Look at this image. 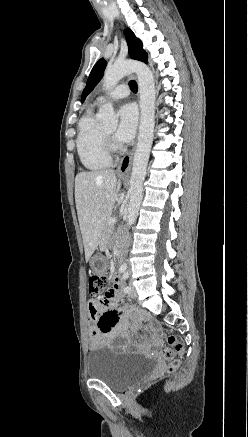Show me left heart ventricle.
I'll use <instances>...</instances> for the list:
<instances>
[{
    "instance_id": "1",
    "label": "left heart ventricle",
    "mask_w": 248,
    "mask_h": 437,
    "mask_svg": "<svg viewBox=\"0 0 248 437\" xmlns=\"http://www.w3.org/2000/svg\"><path fill=\"white\" fill-rule=\"evenodd\" d=\"M106 133L109 134L110 136L113 135L114 133V128H109L106 130Z\"/></svg>"
}]
</instances>
